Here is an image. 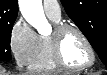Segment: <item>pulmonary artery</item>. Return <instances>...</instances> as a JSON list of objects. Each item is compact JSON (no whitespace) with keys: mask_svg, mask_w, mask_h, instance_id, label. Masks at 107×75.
<instances>
[{"mask_svg":"<svg viewBox=\"0 0 107 75\" xmlns=\"http://www.w3.org/2000/svg\"><path fill=\"white\" fill-rule=\"evenodd\" d=\"M43 8L47 16L54 19H61V8L56 0H44Z\"/></svg>","mask_w":107,"mask_h":75,"instance_id":"pulmonary-artery-1","label":"pulmonary artery"}]
</instances>
